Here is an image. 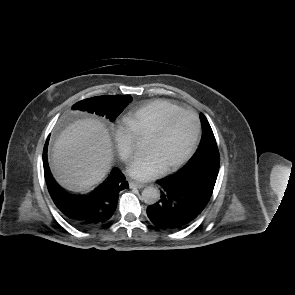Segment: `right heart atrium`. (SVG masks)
Listing matches in <instances>:
<instances>
[{
    "mask_svg": "<svg viewBox=\"0 0 295 295\" xmlns=\"http://www.w3.org/2000/svg\"><path fill=\"white\" fill-rule=\"evenodd\" d=\"M114 140L118 154L128 161L135 153V137L125 124H119L114 130Z\"/></svg>",
    "mask_w": 295,
    "mask_h": 295,
    "instance_id": "1",
    "label": "right heart atrium"
}]
</instances>
